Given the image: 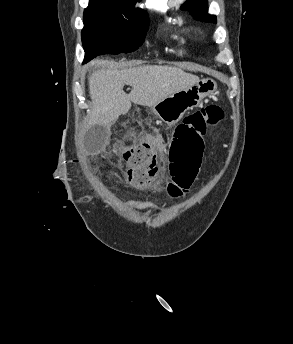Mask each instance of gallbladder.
I'll return each instance as SVG.
<instances>
[{
  "instance_id": "bac80fb5",
  "label": "gallbladder",
  "mask_w": 293,
  "mask_h": 344,
  "mask_svg": "<svg viewBox=\"0 0 293 344\" xmlns=\"http://www.w3.org/2000/svg\"><path fill=\"white\" fill-rule=\"evenodd\" d=\"M109 138V130L103 125L91 126L85 134L84 145L89 153L100 151Z\"/></svg>"
}]
</instances>
